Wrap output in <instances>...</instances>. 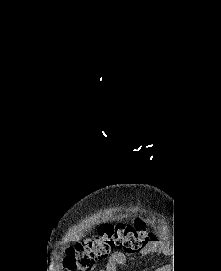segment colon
<instances>
[{"instance_id":"5ec220e1","label":"colon","mask_w":221,"mask_h":271,"mask_svg":"<svg viewBox=\"0 0 221 271\" xmlns=\"http://www.w3.org/2000/svg\"><path fill=\"white\" fill-rule=\"evenodd\" d=\"M152 234L141 222L106 223L96 236L68 246L63 253V266L69 271H92L114 250L138 252L147 246Z\"/></svg>"}]
</instances>
